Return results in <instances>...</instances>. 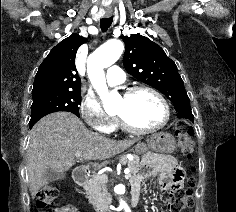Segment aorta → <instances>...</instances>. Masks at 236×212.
Listing matches in <instances>:
<instances>
[{"label": "aorta", "instance_id": "1", "mask_svg": "<svg viewBox=\"0 0 236 212\" xmlns=\"http://www.w3.org/2000/svg\"><path fill=\"white\" fill-rule=\"evenodd\" d=\"M124 46L119 40H110L96 49L87 60L88 77L100 96L104 106L112 104L117 98V94L110 93L106 84L104 68L114 64L121 56ZM118 196L119 208L124 212H131L130 207L122 198L123 189L119 186L114 188Z\"/></svg>", "mask_w": 236, "mask_h": 212}]
</instances>
